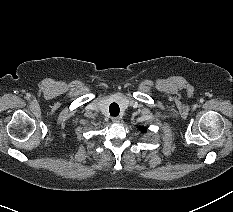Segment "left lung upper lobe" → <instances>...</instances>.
I'll list each match as a JSON object with an SVG mask.
<instances>
[{
  "label": "left lung upper lobe",
  "instance_id": "left-lung-upper-lobe-1",
  "mask_svg": "<svg viewBox=\"0 0 233 212\" xmlns=\"http://www.w3.org/2000/svg\"><path fill=\"white\" fill-rule=\"evenodd\" d=\"M140 130H141L143 133L145 132V128H142V127H141Z\"/></svg>",
  "mask_w": 233,
  "mask_h": 212
}]
</instances>
